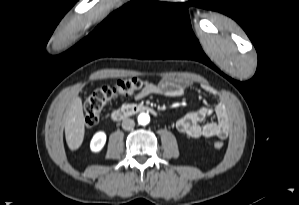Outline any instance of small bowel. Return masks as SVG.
I'll use <instances>...</instances> for the list:
<instances>
[{
    "instance_id": "small-bowel-1",
    "label": "small bowel",
    "mask_w": 299,
    "mask_h": 205,
    "mask_svg": "<svg viewBox=\"0 0 299 205\" xmlns=\"http://www.w3.org/2000/svg\"><path fill=\"white\" fill-rule=\"evenodd\" d=\"M192 86V81L184 77H165L158 84L150 81H145V86L142 90L135 94L136 100H141L150 95H163L166 97H179ZM203 91L211 96L216 95V91L204 85ZM215 115L216 120L206 123L202 121ZM230 115L226 103L221 100L214 108H200L191 112L176 122L178 132L191 138H212L218 137L225 139L230 131Z\"/></svg>"
}]
</instances>
